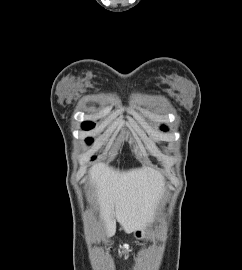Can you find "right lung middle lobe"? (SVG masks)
Segmentation results:
<instances>
[{
  "instance_id": "dd1d6c3e",
  "label": "right lung middle lobe",
  "mask_w": 242,
  "mask_h": 270,
  "mask_svg": "<svg viewBox=\"0 0 242 270\" xmlns=\"http://www.w3.org/2000/svg\"><path fill=\"white\" fill-rule=\"evenodd\" d=\"M94 126H95V124L92 123V122H84V123L82 124V128H83L84 130H90V129H92ZM86 142H87L88 144H91V143L93 142V139H92V138H87V139H86ZM94 159H96V156H93V157H92V160H94Z\"/></svg>"
}]
</instances>
